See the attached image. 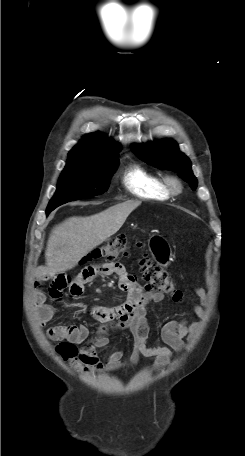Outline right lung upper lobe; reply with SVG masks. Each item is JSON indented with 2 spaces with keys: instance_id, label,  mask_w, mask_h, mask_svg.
<instances>
[{
  "instance_id": "cb5924a9",
  "label": "right lung upper lobe",
  "mask_w": 245,
  "mask_h": 456,
  "mask_svg": "<svg viewBox=\"0 0 245 456\" xmlns=\"http://www.w3.org/2000/svg\"><path fill=\"white\" fill-rule=\"evenodd\" d=\"M118 147L100 133L85 136L68 154V164L98 163L118 157Z\"/></svg>"
}]
</instances>
